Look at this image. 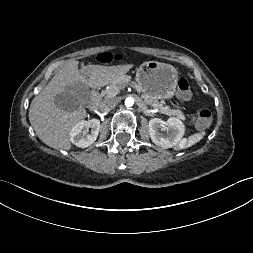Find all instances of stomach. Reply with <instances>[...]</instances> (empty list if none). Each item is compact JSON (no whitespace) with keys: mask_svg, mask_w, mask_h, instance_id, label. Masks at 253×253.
Returning <instances> with one entry per match:
<instances>
[{"mask_svg":"<svg viewBox=\"0 0 253 253\" xmlns=\"http://www.w3.org/2000/svg\"><path fill=\"white\" fill-rule=\"evenodd\" d=\"M136 82L143 95L151 99H171L176 93L178 72L170 64L147 61L137 69Z\"/></svg>","mask_w":253,"mask_h":253,"instance_id":"1","label":"stomach"}]
</instances>
